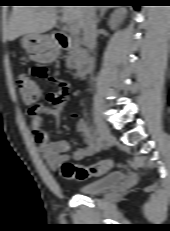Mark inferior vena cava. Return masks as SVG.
Instances as JSON below:
<instances>
[{
  "mask_svg": "<svg viewBox=\"0 0 170 231\" xmlns=\"http://www.w3.org/2000/svg\"><path fill=\"white\" fill-rule=\"evenodd\" d=\"M83 38L88 48L93 51L96 46V7L83 6L82 9Z\"/></svg>",
  "mask_w": 170,
  "mask_h": 231,
  "instance_id": "inferior-vena-cava-1",
  "label": "inferior vena cava"
}]
</instances>
